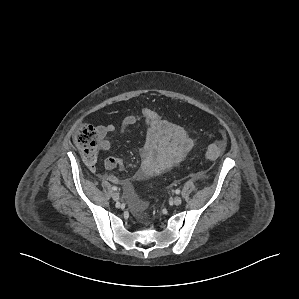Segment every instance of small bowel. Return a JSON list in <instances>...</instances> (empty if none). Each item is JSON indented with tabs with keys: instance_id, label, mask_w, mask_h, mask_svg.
Here are the masks:
<instances>
[{
	"instance_id": "small-bowel-1",
	"label": "small bowel",
	"mask_w": 299,
	"mask_h": 299,
	"mask_svg": "<svg viewBox=\"0 0 299 299\" xmlns=\"http://www.w3.org/2000/svg\"><path fill=\"white\" fill-rule=\"evenodd\" d=\"M138 122L145 127V142L141 153V165L132 181L122 182L113 175L106 178L114 183L123 184L130 190L132 184L162 175L180 165L195 145V139L187 131L169 120L161 117L152 109L145 108L140 115H128L123 120L119 131L126 133ZM101 139V148L105 151L111 147L110 138L117 131L113 124L100 125L96 129ZM121 162L115 157H108L104 162L107 170H113ZM146 201L140 197L133 202L136 211L142 210Z\"/></svg>"
}]
</instances>
